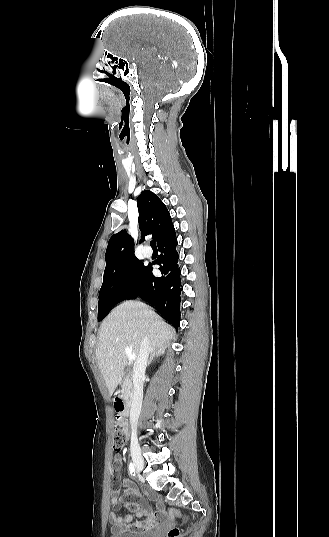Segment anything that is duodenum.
I'll return each instance as SVG.
<instances>
[{
  "label": "duodenum",
  "instance_id": "duodenum-1",
  "mask_svg": "<svg viewBox=\"0 0 329 537\" xmlns=\"http://www.w3.org/2000/svg\"><path fill=\"white\" fill-rule=\"evenodd\" d=\"M114 407L121 414L122 417L126 418L130 415L131 412V402L126 398H115Z\"/></svg>",
  "mask_w": 329,
  "mask_h": 537
}]
</instances>
